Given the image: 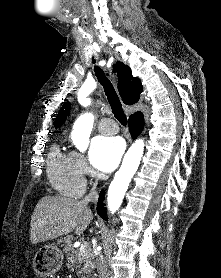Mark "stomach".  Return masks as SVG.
I'll return each instance as SVG.
<instances>
[{
	"label": "stomach",
	"instance_id": "stomach-1",
	"mask_svg": "<svg viewBox=\"0 0 221 278\" xmlns=\"http://www.w3.org/2000/svg\"><path fill=\"white\" fill-rule=\"evenodd\" d=\"M62 264V251L54 245H45L39 249L34 264H30V269H35L37 275L46 278L58 272Z\"/></svg>",
	"mask_w": 221,
	"mask_h": 278
}]
</instances>
